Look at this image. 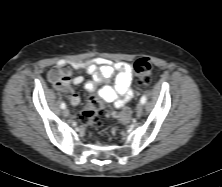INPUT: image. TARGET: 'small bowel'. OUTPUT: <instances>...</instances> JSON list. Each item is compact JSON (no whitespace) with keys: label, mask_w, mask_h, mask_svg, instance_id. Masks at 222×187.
I'll return each mask as SVG.
<instances>
[{"label":"small bowel","mask_w":222,"mask_h":187,"mask_svg":"<svg viewBox=\"0 0 222 187\" xmlns=\"http://www.w3.org/2000/svg\"><path fill=\"white\" fill-rule=\"evenodd\" d=\"M70 67L84 70L92 76V79L84 84V87L88 92H94L98 84L103 83L115 72H118L115 84L113 86L107 85L100 88L97 91V95L100 99L112 103L117 109H121L122 116L128 114L125 106L134 97V92L131 88V66L128 63L111 62L104 58H95L84 63H72L69 66L66 62L59 61L48 72V80L55 89L69 92L70 103L75 106L79 104L80 96L71 85L83 84L84 77L81 75L73 77Z\"/></svg>","instance_id":"1"}]
</instances>
